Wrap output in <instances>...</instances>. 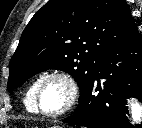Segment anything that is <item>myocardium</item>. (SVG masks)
Returning <instances> with one entry per match:
<instances>
[{"mask_svg":"<svg viewBox=\"0 0 142 128\" xmlns=\"http://www.w3.org/2000/svg\"><path fill=\"white\" fill-rule=\"evenodd\" d=\"M51 78H56L61 80L66 85L68 90V98H67L66 104L60 110L56 112L44 111L43 109H41L39 104V96H40L42 84L44 81ZM78 97H79V87L74 77L70 73L63 70H52L42 74L39 77V80L35 89V93H34L35 109L37 113L45 117H50V118L60 117L68 113L75 106V104L77 103Z\"/></svg>","mask_w":142,"mask_h":128,"instance_id":"myocardium-1","label":"myocardium"}]
</instances>
